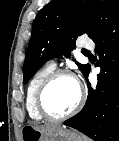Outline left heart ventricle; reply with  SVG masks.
Here are the masks:
<instances>
[{"label":"left heart ventricle","instance_id":"left-heart-ventricle-1","mask_svg":"<svg viewBox=\"0 0 119 141\" xmlns=\"http://www.w3.org/2000/svg\"><path fill=\"white\" fill-rule=\"evenodd\" d=\"M78 95L76 82L68 76H60L47 88L43 104L49 114L62 115L74 107Z\"/></svg>","mask_w":119,"mask_h":141}]
</instances>
